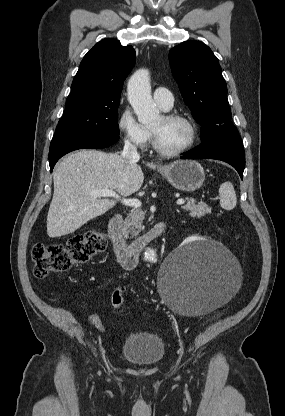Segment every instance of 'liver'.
I'll return each mask as SVG.
<instances>
[{
	"label": "liver",
	"instance_id": "liver-1",
	"mask_svg": "<svg viewBox=\"0 0 285 416\" xmlns=\"http://www.w3.org/2000/svg\"><path fill=\"white\" fill-rule=\"evenodd\" d=\"M144 174L118 154L78 150L66 156L53 174L54 194L47 216L49 238L73 234L89 220L106 214L115 200L90 196L89 190H116L131 196L140 190Z\"/></svg>",
	"mask_w": 285,
	"mask_h": 416
}]
</instances>
